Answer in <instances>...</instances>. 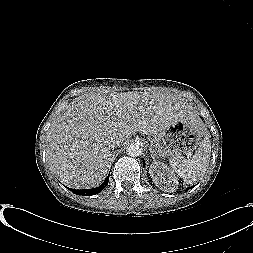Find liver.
I'll return each mask as SVG.
<instances>
[{"label":"liver","mask_w":253,"mask_h":253,"mask_svg":"<svg viewBox=\"0 0 253 253\" xmlns=\"http://www.w3.org/2000/svg\"><path fill=\"white\" fill-rule=\"evenodd\" d=\"M202 120L181 97L160 92L83 94L68 103L47 133V161L65 185L93 188L106 177L112 139L155 135L179 119Z\"/></svg>","instance_id":"obj_1"}]
</instances>
